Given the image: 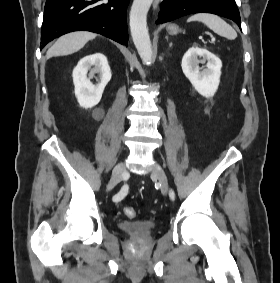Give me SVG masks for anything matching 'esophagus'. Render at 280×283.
<instances>
[{
    "mask_svg": "<svg viewBox=\"0 0 280 283\" xmlns=\"http://www.w3.org/2000/svg\"><path fill=\"white\" fill-rule=\"evenodd\" d=\"M160 0H154L153 2V8L156 9L158 4H159Z\"/></svg>",
    "mask_w": 280,
    "mask_h": 283,
    "instance_id": "obj_1",
    "label": "esophagus"
}]
</instances>
